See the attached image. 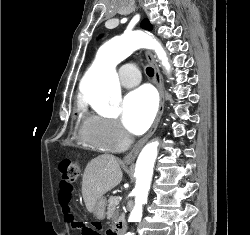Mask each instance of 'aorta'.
<instances>
[{
  "label": "aorta",
  "instance_id": "obj_1",
  "mask_svg": "<svg viewBox=\"0 0 250 235\" xmlns=\"http://www.w3.org/2000/svg\"><path fill=\"white\" fill-rule=\"evenodd\" d=\"M139 48L155 50L166 70H170L167 55L161 44L142 31H135L121 39H112L101 46L93 67L85 77L83 94L92 105L107 107L120 100V84L115 66L131 51ZM158 142L148 143L139 154L136 163V185L134 189L135 205L129 216V222H140L142 206L147 201L153 175V167L158 153ZM125 235H134L128 232Z\"/></svg>",
  "mask_w": 250,
  "mask_h": 235
}]
</instances>
